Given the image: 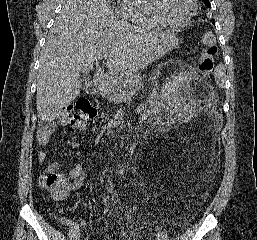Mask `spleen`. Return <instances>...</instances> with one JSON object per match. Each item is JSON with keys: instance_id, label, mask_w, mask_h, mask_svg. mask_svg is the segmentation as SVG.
I'll return each instance as SVG.
<instances>
[{"instance_id": "obj_1", "label": "spleen", "mask_w": 257, "mask_h": 240, "mask_svg": "<svg viewBox=\"0 0 257 240\" xmlns=\"http://www.w3.org/2000/svg\"><path fill=\"white\" fill-rule=\"evenodd\" d=\"M223 74H224V67L222 64H220L217 70L215 71V79L219 86H223V83H224Z\"/></svg>"}]
</instances>
